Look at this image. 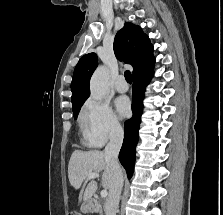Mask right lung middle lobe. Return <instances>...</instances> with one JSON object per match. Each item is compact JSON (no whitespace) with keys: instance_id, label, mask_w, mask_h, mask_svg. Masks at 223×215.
I'll return each mask as SVG.
<instances>
[{"instance_id":"obj_1","label":"right lung middle lobe","mask_w":223,"mask_h":215,"mask_svg":"<svg viewBox=\"0 0 223 215\" xmlns=\"http://www.w3.org/2000/svg\"><path fill=\"white\" fill-rule=\"evenodd\" d=\"M81 107V106H80ZM80 107L76 108V109H73V113H74V118L77 117L78 113H79V110H80Z\"/></svg>"}]
</instances>
